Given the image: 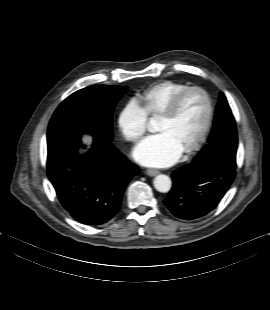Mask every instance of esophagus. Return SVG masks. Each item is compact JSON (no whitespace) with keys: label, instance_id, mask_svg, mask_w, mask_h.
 <instances>
[{"label":"esophagus","instance_id":"esophagus-1","mask_svg":"<svg viewBox=\"0 0 270 310\" xmlns=\"http://www.w3.org/2000/svg\"><path fill=\"white\" fill-rule=\"evenodd\" d=\"M146 173L149 176H155V175H157L159 173V171L157 169H147Z\"/></svg>","mask_w":270,"mask_h":310}]
</instances>
